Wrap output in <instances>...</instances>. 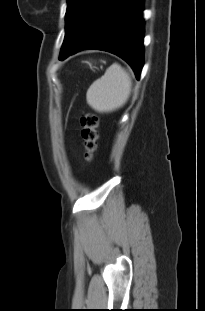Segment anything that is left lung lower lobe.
<instances>
[{
  "label": "left lung lower lobe",
  "instance_id": "obj_1",
  "mask_svg": "<svg viewBox=\"0 0 205 311\" xmlns=\"http://www.w3.org/2000/svg\"><path fill=\"white\" fill-rule=\"evenodd\" d=\"M142 11L143 0H118L101 23L59 59L84 49L104 50L123 58L139 79L144 56Z\"/></svg>",
  "mask_w": 205,
  "mask_h": 311
}]
</instances>
